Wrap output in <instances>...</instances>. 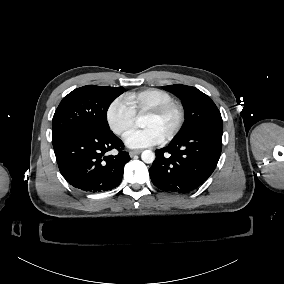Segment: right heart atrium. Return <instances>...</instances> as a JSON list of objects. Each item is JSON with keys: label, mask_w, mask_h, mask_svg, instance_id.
Returning a JSON list of instances; mask_svg holds the SVG:
<instances>
[{"label": "right heart atrium", "mask_w": 284, "mask_h": 284, "mask_svg": "<svg viewBox=\"0 0 284 284\" xmlns=\"http://www.w3.org/2000/svg\"><path fill=\"white\" fill-rule=\"evenodd\" d=\"M135 116V111L123 96L113 99L105 111L106 124L117 136H123L133 126Z\"/></svg>", "instance_id": "obj_1"}]
</instances>
